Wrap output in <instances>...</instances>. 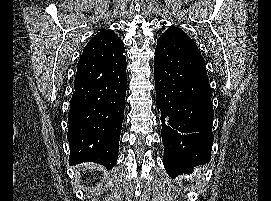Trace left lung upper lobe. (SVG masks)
I'll return each mask as SVG.
<instances>
[{
	"instance_id": "left-lung-upper-lobe-1",
	"label": "left lung upper lobe",
	"mask_w": 271,
	"mask_h": 201,
	"mask_svg": "<svg viewBox=\"0 0 271 201\" xmlns=\"http://www.w3.org/2000/svg\"><path fill=\"white\" fill-rule=\"evenodd\" d=\"M177 31H180V28L171 26L168 30H166V31L159 37V39H165V38H168V37L174 35Z\"/></svg>"
}]
</instances>
